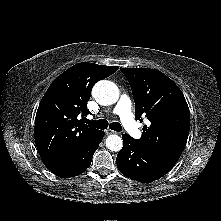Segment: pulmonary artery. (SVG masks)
Wrapping results in <instances>:
<instances>
[{
    "mask_svg": "<svg viewBox=\"0 0 221 221\" xmlns=\"http://www.w3.org/2000/svg\"><path fill=\"white\" fill-rule=\"evenodd\" d=\"M113 113L119 116L123 127L133 138L139 139L141 137L142 131L134 120L132 114V105L128 96L122 95L120 97L113 110Z\"/></svg>",
    "mask_w": 221,
    "mask_h": 221,
    "instance_id": "1",
    "label": "pulmonary artery"
}]
</instances>
